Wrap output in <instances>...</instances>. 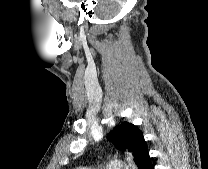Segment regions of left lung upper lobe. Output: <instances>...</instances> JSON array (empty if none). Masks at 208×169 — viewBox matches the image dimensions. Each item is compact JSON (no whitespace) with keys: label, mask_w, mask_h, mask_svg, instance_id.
<instances>
[{"label":"left lung upper lobe","mask_w":208,"mask_h":169,"mask_svg":"<svg viewBox=\"0 0 208 169\" xmlns=\"http://www.w3.org/2000/svg\"><path fill=\"white\" fill-rule=\"evenodd\" d=\"M108 137L118 150L131 152L136 164L141 154L147 150L142 131L132 123L123 122L117 125Z\"/></svg>","instance_id":"obj_1"}]
</instances>
